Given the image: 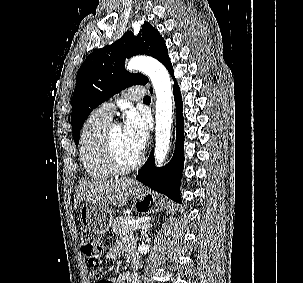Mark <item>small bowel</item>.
Returning a JSON list of instances; mask_svg holds the SVG:
<instances>
[{
    "label": "small bowel",
    "instance_id": "obj_1",
    "mask_svg": "<svg viewBox=\"0 0 303 283\" xmlns=\"http://www.w3.org/2000/svg\"><path fill=\"white\" fill-rule=\"evenodd\" d=\"M122 254H126L129 259L135 261L138 259V254L135 251L134 241L130 237H125L119 240L105 255L108 260H113ZM98 272L96 270L90 272V278L96 279ZM138 278V276H137ZM133 276L131 273H124L115 278L113 283H131ZM139 280V278H138Z\"/></svg>",
    "mask_w": 303,
    "mask_h": 283
}]
</instances>
